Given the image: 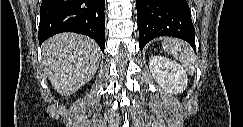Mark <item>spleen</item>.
<instances>
[{"label":"spleen","instance_id":"3e777b00","mask_svg":"<svg viewBox=\"0 0 243 127\" xmlns=\"http://www.w3.org/2000/svg\"><path fill=\"white\" fill-rule=\"evenodd\" d=\"M163 48L166 52L173 55L175 59L179 60L190 74L194 73V53L188 44L175 39H166L163 42Z\"/></svg>","mask_w":243,"mask_h":127}]
</instances>
